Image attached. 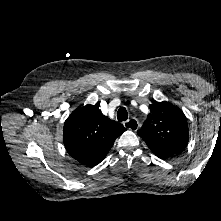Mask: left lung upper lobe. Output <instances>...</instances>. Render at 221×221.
<instances>
[{
  "label": "left lung upper lobe",
  "mask_w": 221,
  "mask_h": 221,
  "mask_svg": "<svg viewBox=\"0 0 221 221\" xmlns=\"http://www.w3.org/2000/svg\"><path fill=\"white\" fill-rule=\"evenodd\" d=\"M147 121L137 131L154 154H173L188 143V125L184 113L169 102L150 106Z\"/></svg>",
  "instance_id": "left-lung-upper-lobe-1"
}]
</instances>
